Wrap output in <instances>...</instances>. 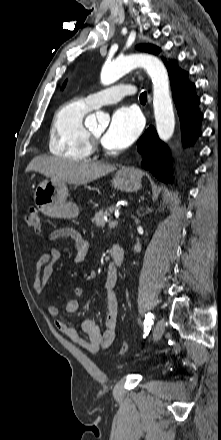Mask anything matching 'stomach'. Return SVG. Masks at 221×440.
<instances>
[{"instance_id": "1", "label": "stomach", "mask_w": 221, "mask_h": 440, "mask_svg": "<svg viewBox=\"0 0 221 440\" xmlns=\"http://www.w3.org/2000/svg\"><path fill=\"white\" fill-rule=\"evenodd\" d=\"M112 185L122 191L134 192L141 188L138 174L129 167H122L114 175ZM69 191L66 183L53 179L41 181L34 192L39 211L52 218H73L79 214L76 204L67 201Z\"/></svg>"}]
</instances>
